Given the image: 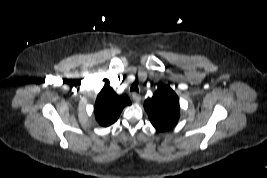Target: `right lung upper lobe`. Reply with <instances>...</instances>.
<instances>
[{"mask_svg":"<svg viewBox=\"0 0 267 178\" xmlns=\"http://www.w3.org/2000/svg\"><path fill=\"white\" fill-rule=\"evenodd\" d=\"M130 99L127 95H118L106 83L97 96L95 102V117L98 123L107 127L117 121L121 111L127 105H130Z\"/></svg>","mask_w":267,"mask_h":178,"instance_id":"right-lung-upper-lobe-1","label":"right lung upper lobe"}]
</instances>
